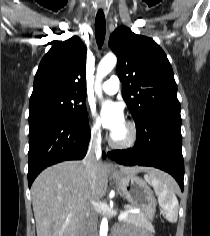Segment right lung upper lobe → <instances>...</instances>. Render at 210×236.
<instances>
[{"mask_svg": "<svg viewBox=\"0 0 210 236\" xmlns=\"http://www.w3.org/2000/svg\"><path fill=\"white\" fill-rule=\"evenodd\" d=\"M86 52L77 36L54 45L40 62L30 101L51 93L85 96Z\"/></svg>", "mask_w": 210, "mask_h": 236, "instance_id": "right-lung-upper-lobe-1", "label": "right lung upper lobe"}]
</instances>
